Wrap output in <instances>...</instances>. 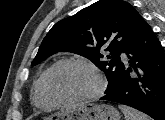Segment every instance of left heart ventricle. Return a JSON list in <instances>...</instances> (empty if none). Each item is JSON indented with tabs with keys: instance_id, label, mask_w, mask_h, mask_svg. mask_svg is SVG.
Wrapping results in <instances>:
<instances>
[{
	"instance_id": "b2bd125f",
	"label": "left heart ventricle",
	"mask_w": 165,
	"mask_h": 120,
	"mask_svg": "<svg viewBox=\"0 0 165 120\" xmlns=\"http://www.w3.org/2000/svg\"><path fill=\"white\" fill-rule=\"evenodd\" d=\"M98 81L88 68L79 64H67L58 68L52 78L51 87L61 98L73 99L92 93Z\"/></svg>"
}]
</instances>
